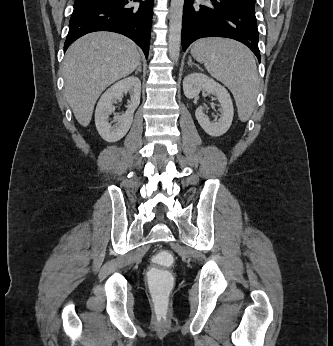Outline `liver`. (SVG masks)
<instances>
[{
	"mask_svg": "<svg viewBox=\"0 0 333 346\" xmlns=\"http://www.w3.org/2000/svg\"><path fill=\"white\" fill-rule=\"evenodd\" d=\"M139 63L136 44L116 33H90L68 48L63 61L64 93L83 127L89 125L101 93L131 74Z\"/></svg>",
	"mask_w": 333,
	"mask_h": 346,
	"instance_id": "1",
	"label": "liver"
}]
</instances>
